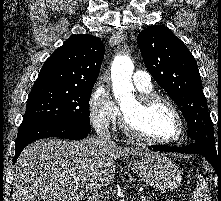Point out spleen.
I'll use <instances>...</instances> for the list:
<instances>
[{
    "label": "spleen",
    "mask_w": 221,
    "mask_h": 201,
    "mask_svg": "<svg viewBox=\"0 0 221 201\" xmlns=\"http://www.w3.org/2000/svg\"><path fill=\"white\" fill-rule=\"evenodd\" d=\"M190 201H211L207 183L202 177H198L197 186L193 190Z\"/></svg>",
    "instance_id": "obj_1"
}]
</instances>
